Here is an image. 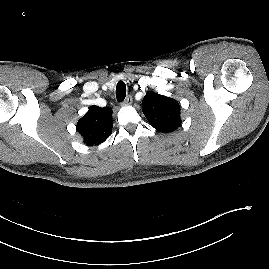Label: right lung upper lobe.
Masks as SVG:
<instances>
[{
    "instance_id": "cb5924a9",
    "label": "right lung upper lobe",
    "mask_w": 269,
    "mask_h": 269,
    "mask_svg": "<svg viewBox=\"0 0 269 269\" xmlns=\"http://www.w3.org/2000/svg\"><path fill=\"white\" fill-rule=\"evenodd\" d=\"M77 131L86 145H99L112 133V109L91 106L88 112L78 121Z\"/></svg>"
}]
</instances>
